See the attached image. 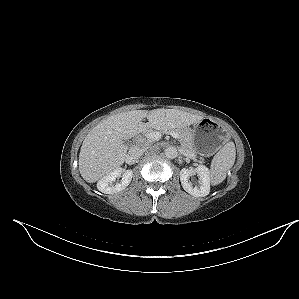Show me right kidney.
<instances>
[{"label":"right kidney","mask_w":299,"mask_h":299,"mask_svg":"<svg viewBox=\"0 0 299 299\" xmlns=\"http://www.w3.org/2000/svg\"><path fill=\"white\" fill-rule=\"evenodd\" d=\"M117 177H122L120 183L113 184ZM133 177L132 170L122 168L115 169L109 174L103 176L97 183L99 191L105 194H114L124 190L131 182Z\"/></svg>","instance_id":"right-kidney-1"}]
</instances>
